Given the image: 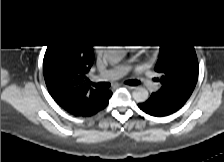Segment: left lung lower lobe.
Instances as JSON below:
<instances>
[{"instance_id": "obj_1", "label": "left lung lower lobe", "mask_w": 224, "mask_h": 162, "mask_svg": "<svg viewBox=\"0 0 224 162\" xmlns=\"http://www.w3.org/2000/svg\"><path fill=\"white\" fill-rule=\"evenodd\" d=\"M186 101L176 99H164L153 93L144 103L138 104L139 108L152 116H167L179 110Z\"/></svg>"}]
</instances>
